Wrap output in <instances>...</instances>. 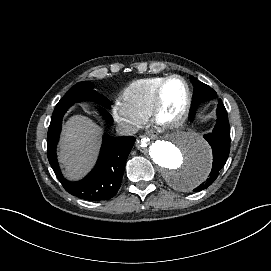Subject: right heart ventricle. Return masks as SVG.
I'll list each match as a JSON object with an SVG mask.
<instances>
[{
    "label": "right heart ventricle",
    "instance_id": "e07e8e85",
    "mask_svg": "<svg viewBox=\"0 0 271 271\" xmlns=\"http://www.w3.org/2000/svg\"><path fill=\"white\" fill-rule=\"evenodd\" d=\"M166 77L162 75L136 79L121 92L120 99L123 105L139 122H144L152 116L155 92Z\"/></svg>",
    "mask_w": 271,
    "mask_h": 271
}]
</instances>
